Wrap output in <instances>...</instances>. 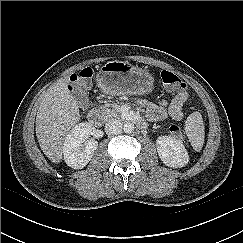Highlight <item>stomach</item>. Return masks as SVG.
I'll list each match as a JSON object with an SVG mask.
<instances>
[{
    "label": "stomach",
    "instance_id": "obj_1",
    "mask_svg": "<svg viewBox=\"0 0 243 243\" xmlns=\"http://www.w3.org/2000/svg\"><path fill=\"white\" fill-rule=\"evenodd\" d=\"M98 87L110 95H144L153 89V78L142 68L123 61H108L96 76Z\"/></svg>",
    "mask_w": 243,
    "mask_h": 243
}]
</instances>
